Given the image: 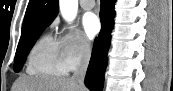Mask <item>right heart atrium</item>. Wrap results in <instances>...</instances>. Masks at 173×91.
<instances>
[{"mask_svg": "<svg viewBox=\"0 0 173 91\" xmlns=\"http://www.w3.org/2000/svg\"><path fill=\"white\" fill-rule=\"evenodd\" d=\"M58 47L68 71L80 67L91 53L89 40L79 31L62 30L58 38Z\"/></svg>", "mask_w": 173, "mask_h": 91, "instance_id": "1", "label": "right heart atrium"}]
</instances>
